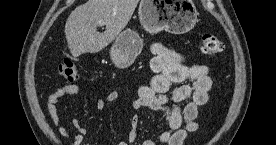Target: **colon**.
I'll return each instance as SVG.
<instances>
[{"mask_svg": "<svg viewBox=\"0 0 276 145\" xmlns=\"http://www.w3.org/2000/svg\"><path fill=\"white\" fill-rule=\"evenodd\" d=\"M201 49L207 55H216L222 52L223 44L216 36L204 34L201 37ZM59 74L68 81H77L80 77L77 67L69 60L60 64Z\"/></svg>", "mask_w": 276, "mask_h": 145, "instance_id": "obj_1", "label": "colon"}]
</instances>
